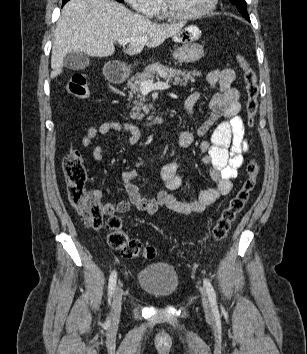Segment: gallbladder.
I'll list each match as a JSON object with an SVG mask.
<instances>
[{
  "instance_id": "bac80fb5",
  "label": "gallbladder",
  "mask_w": 307,
  "mask_h": 354,
  "mask_svg": "<svg viewBox=\"0 0 307 354\" xmlns=\"http://www.w3.org/2000/svg\"><path fill=\"white\" fill-rule=\"evenodd\" d=\"M63 63L69 69L83 70L89 66L90 59L82 52H71L64 57Z\"/></svg>"
}]
</instances>
